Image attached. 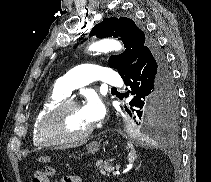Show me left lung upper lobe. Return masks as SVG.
Masks as SVG:
<instances>
[{
  "instance_id": "obj_1",
  "label": "left lung upper lobe",
  "mask_w": 211,
  "mask_h": 182,
  "mask_svg": "<svg viewBox=\"0 0 211 182\" xmlns=\"http://www.w3.org/2000/svg\"><path fill=\"white\" fill-rule=\"evenodd\" d=\"M90 35H96L98 38L115 37L124 43L126 48L124 53L111 56L109 59V66L116 69L121 77L134 66L139 55L150 42L134 21L126 17L106 18L93 27ZM175 121L176 118L168 121L167 124L171 125Z\"/></svg>"
}]
</instances>
